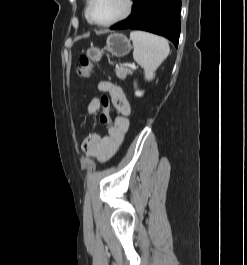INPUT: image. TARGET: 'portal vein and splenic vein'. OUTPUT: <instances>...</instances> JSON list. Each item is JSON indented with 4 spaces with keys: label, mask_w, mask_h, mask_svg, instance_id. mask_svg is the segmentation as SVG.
I'll return each mask as SVG.
<instances>
[{
    "label": "portal vein and splenic vein",
    "mask_w": 247,
    "mask_h": 265,
    "mask_svg": "<svg viewBox=\"0 0 247 265\" xmlns=\"http://www.w3.org/2000/svg\"><path fill=\"white\" fill-rule=\"evenodd\" d=\"M125 66H127V67H131V68H134V65L129 64V63H126Z\"/></svg>",
    "instance_id": "18ae733b"
}]
</instances>
